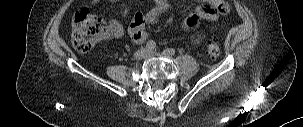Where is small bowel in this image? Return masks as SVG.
Returning a JSON list of instances; mask_svg holds the SVG:
<instances>
[{
    "mask_svg": "<svg viewBox=\"0 0 303 127\" xmlns=\"http://www.w3.org/2000/svg\"><path fill=\"white\" fill-rule=\"evenodd\" d=\"M101 0H91L90 5L96 6ZM111 2H118L120 0H109ZM155 3L148 13L135 12L128 28V33L135 43H142L149 34L145 30L146 23L157 22L161 16L169 10L170 3L168 0H153ZM204 5L195 8V10L188 15L182 23V27L187 31H195L199 20L213 21L218 18L220 14L228 12V6L223 0H198ZM109 31L112 38H119L124 33L123 26L115 21L109 22ZM198 42V41H197Z\"/></svg>",
    "mask_w": 303,
    "mask_h": 127,
    "instance_id": "small-bowel-1",
    "label": "small bowel"
}]
</instances>
